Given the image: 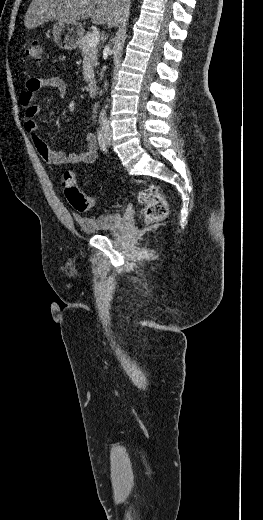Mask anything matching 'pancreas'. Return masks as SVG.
Listing matches in <instances>:
<instances>
[{
  "label": "pancreas",
  "mask_w": 263,
  "mask_h": 520,
  "mask_svg": "<svg viewBox=\"0 0 263 520\" xmlns=\"http://www.w3.org/2000/svg\"><path fill=\"white\" fill-rule=\"evenodd\" d=\"M91 37V33H87L82 36L79 41V49L82 51L83 56V75L87 82L94 79V68L98 65V47L90 46L88 40Z\"/></svg>",
  "instance_id": "pancreas-1"
}]
</instances>
